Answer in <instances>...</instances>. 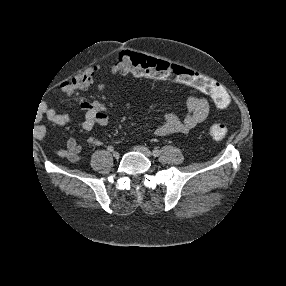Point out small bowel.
I'll return each instance as SVG.
<instances>
[{"mask_svg":"<svg viewBox=\"0 0 286 286\" xmlns=\"http://www.w3.org/2000/svg\"><path fill=\"white\" fill-rule=\"evenodd\" d=\"M179 83L191 85L189 83L173 79ZM103 82L98 83L99 88H104ZM81 108L85 111L82 121H74L70 116L57 112L50 108L46 112L49 121L58 126L75 123L86 131L91 130L94 126H106L109 118L105 111L104 105L99 101H82ZM187 113L181 117L176 111H169L165 115V121L155 130L157 136H168L171 134H185L194 129L198 124L203 122L209 113L208 101L197 95H189L186 99ZM46 133V132H45ZM87 142L92 146H100L101 139L91 136ZM82 148L74 138L67 140L65 148L57 152L60 157H66L71 162H78L81 157Z\"/></svg>","mask_w":286,"mask_h":286,"instance_id":"small-bowel-1","label":"small bowel"}]
</instances>
